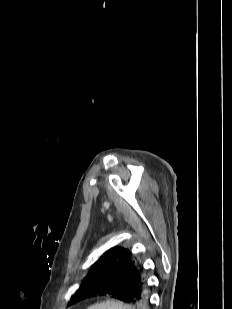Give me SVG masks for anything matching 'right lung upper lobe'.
Returning a JSON list of instances; mask_svg holds the SVG:
<instances>
[{
  "label": "right lung upper lobe",
  "instance_id": "1",
  "mask_svg": "<svg viewBox=\"0 0 232 309\" xmlns=\"http://www.w3.org/2000/svg\"><path fill=\"white\" fill-rule=\"evenodd\" d=\"M132 253L123 247H114L106 251L98 262L90 269L88 274H93L98 271H117V268L126 263H131Z\"/></svg>",
  "mask_w": 232,
  "mask_h": 309
}]
</instances>
